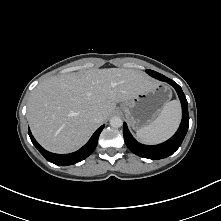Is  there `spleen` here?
<instances>
[{
	"label": "spleen",
	"instance_id": "3e777b00",
	"mask_svg": "<svg viewBox=\"0 0 221 221\" xmlns=\"http://www.w3.org/2000/svg\"><path fill=\"white\" fill-rule=\"evenodd\" d=\"M181 118L177 100L167 102L158 117L136 132L137 139L145 144H157L168 139L177 129Z\"/></svg>",
	"mask_w": 221,
	"mask_h": 221
}]
</instances>
